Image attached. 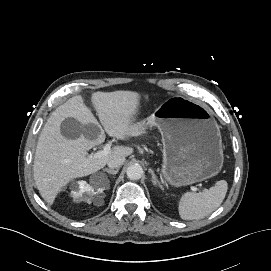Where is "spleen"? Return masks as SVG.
Returning a JSON list of instances; mask_svg holds the SVG:
<instances>
[{
  "mask_svg": "<svg viewBox=\"0 0 271 271\" xmlns=\"http://www.w3.org/2000/svg\"><path fill=\"white\" fill-rule=\"evenodd\" d=\"M227 189V182L220 180L204 192L184 193L179 200L178 211L180 217L183 220H197L208 216L222 204Z\"/></svg>",
  "mask_w": 271,
  "mask_h": 271,
  "instance_id": "obj_1",
  "label": "spleen"
}]
</instances>
